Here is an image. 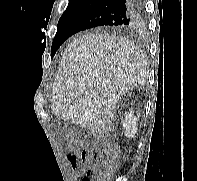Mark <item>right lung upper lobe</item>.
<instances>
[{
  "label": "right lung upper lobe",
  "mask_w": 197,
  "mask_h": 181,
  "mask_svg": "<svg viewBox=\"0 0 197 181\" xmlns=\"http://www.w3.org/2000/svg\"><path fill=\"white\" fill-rule=\"evenodd\" d=\"M97 1H99V0H69V4H68L66 10H72V9H76V8H79V7L89 8L90 6L95 4ZM133 28L134 27H120L118 29L121 30V31H129Z\"/></svg>",
  "instance_id": "cb5924a9"
}]
</instances>
